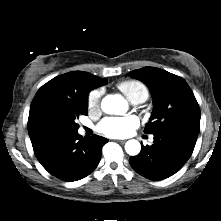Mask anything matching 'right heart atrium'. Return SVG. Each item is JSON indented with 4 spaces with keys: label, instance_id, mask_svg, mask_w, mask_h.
Listing matches in <instances>:
<instances>
[{
    "label": "right heart atrium",
    "instance_id": "1",
    "mask_svg": "<svg viewBox=\"0 0 221 221\" xmlns=\"http://www.w3.org/2000/svg\"><path fill=\"white\" fill-rule=\"evenodd\" d=\"M101 95H102L101 89H94L93 91L90 92L87 99V105L90 110L98 109Z\"/></svg>",
    "mask_w": 221,
    "mask_h": 221
}]
</instances>
